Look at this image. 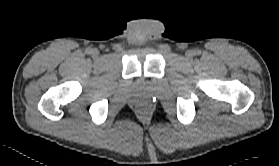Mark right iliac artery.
<instances>
[{"instance_id":"1","label":"right iliac artery","mask_w":279,"mask_h":166,"mask_svg":"<svg viewBox=\"0 0 279 166\" xmlns=\"http://www.w3.org/2000/svg\"><path fill=\"white\" fill-rule=\"evenodd\" d=\"M86 52H87L88 54H91V53H92V49H91V48H87V49H86Z\"/></svg>"}]
</instances>
